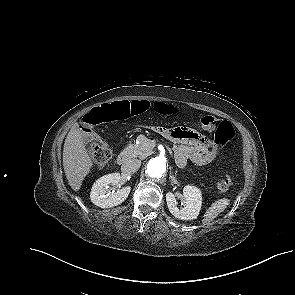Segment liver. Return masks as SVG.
<instances>
[{"label": "liver", "instance_id": "1", "mask_svg": "<svg viewBox=\"0 0 295 295\" xmlns=\"http://www.w3.org/2000/svg\"><path fill=\"white\" fill-rule=\"evenodd\" d=\"M63 166L68 184L74 191H78L84 178L90 173L93 163L86 149L83 135L77 126L72 127L66 137Z\"/></svg>", "mask_w": 295, "mask_h": 295}]
</instances>
